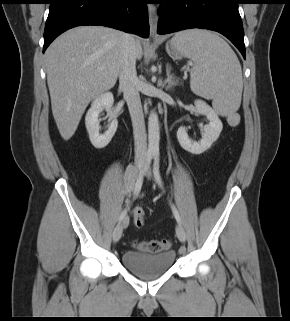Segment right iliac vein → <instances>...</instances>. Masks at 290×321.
<instances>
[{"mask_svg":"<svg viewBox=\"0 0 290 321\" xmlns=\"http://www.w3.org/2000/svg\"><path fill=\"white\" fill-rule=\"evenodd\" d=\"M143 167V160L139 159L135 163L136 173H138ZM128 224V218L124 217L121 223H119L113 231V241L116 243L120 240L123 232V228Z\"/></svg>","mask_w":290,"mask_h":321,"instance_id":"obj_1","label":"right iliac vein"}]
</instances>
